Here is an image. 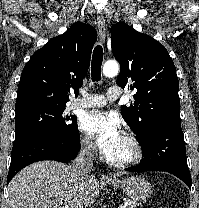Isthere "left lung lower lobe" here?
<instances>
[{
	"label": "left lung lower lobe",
	"mask_w": 199,
	"mask_h": 208,
	"mask_svg": "<svg viewBox=\"0 0 199 208\" xmlns=\"http://www.w3.org/2000/svg\"><path fill=\"white\" fill-rule=\"evenodd\" d=\"M144 159L139 165L126 168L129 172L167 171L191 189V175L187 165L181 122L154 127L147 140L140 144Z\"/></svg>",
	"instance_id": "0a47b994"
}]
</instances>
